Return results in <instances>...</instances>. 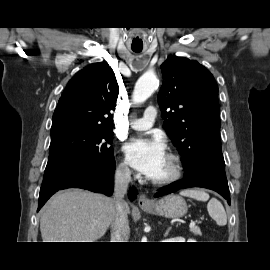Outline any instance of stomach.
<instances>
[{
    "mask_svg": "<svg viewBox=\"0 0 270 270\" xmlns=\"http://www.w3.org/2000/svg\"><path fill=\"white\" fill-rule=\"evenodd\" d=\"M142 209L151 214L168 218L183 217L188 211L186 201L181 196L174 194L165 196L156 201L152 206H144Z\"/></svg>",
    "mask_w": 270,
    "mask_h": 270,
    "instance_id": "stomach-1",
    "label": "stomach"
}]
</instances>
